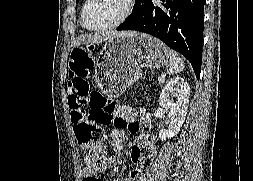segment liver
I'll use <instances>...</instances> for the list:
<instances>
[{"mask_svg": "<svg viewBox=\"0 0 253 181\" xmlns=\"http://www.w3.org/2000/svg\"><path fill=\"white\" fill-rule=\"evenodd\" d=\"M133 31H122V32H96L87 34L79 37L75 42L74 46H78L80 44H98L106 41L107 39L119 37L122 35H132Z\"/></svg>", "mask_w": 253, "mask_h": 181, "instance_id": "obj_1", "label": "liver"}]
</instances>
